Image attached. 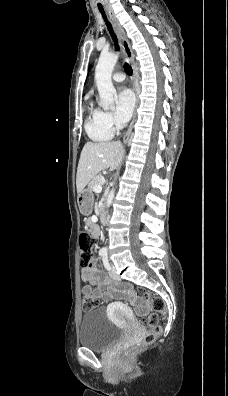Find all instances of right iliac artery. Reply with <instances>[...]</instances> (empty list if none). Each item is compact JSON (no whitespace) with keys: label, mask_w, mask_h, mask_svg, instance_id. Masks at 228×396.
Listing matches in <instances>:
<instances>
[{"label":"right iliac artery","mask_w":228,"mask_h":396,"mask_svg":"<svg viewBox=\"0 0 228 396\" xmlns=\"http://www.w3.org/2000/svg\"><path fill=\"white\" fill-rule=\"evenodd\" d=\"M104 253H105L104 251H100L99 255L102 256Z\"/></svg>","instance_id":"obj_1"}]
</instances>
